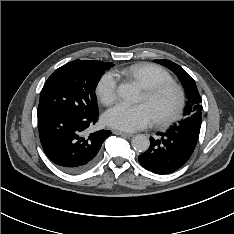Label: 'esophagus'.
<instances>
[{
	"mask_svg": "<svg viewBox=\"0 0 234 234\" xmlns=\"http://www.w3.org/2000/svg\"><path fill=\"white\" fill-rule=\"evenodd\" d=\"M113 133L116 134V135H121V136H125V137H128V138L133 136L132 133H126V132H121V131H114Z\"/></svg>",
	"mask_w": 234,
	"mask_h": 234,
	"instance_id": "34e87169",
	"label": "esophagus"
}]
</instances>
